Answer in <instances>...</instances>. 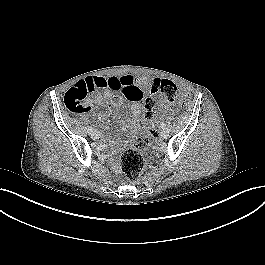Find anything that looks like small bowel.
<instances>
[{"label":"small bowel","mask_w":265,"mask_h":265,"mask_svg":"<svg viewBox=\"0 0 265 265\" xmlns=\"http://www.w3.org/2000/svg\"><path fill=\"white\" fill-rule=\"evenodd\" d=\"M158 79L160 78L137 80L129 75L90 78L91 81L97 83V89H105L107 92L105 95L94 93L88 96L85 99L83 112L91 111L94 104L104 105L108 109L119 107L122 104V99L115 93L121 92L124 98L133 103L131 107L132 118L126 126L134 130L141 122L142 107L140 103L145 100V91H152L153 83ZM138 85L143 87L145 91Z\"/></svg>","instance_id":"obj_1"}]
</instances>
